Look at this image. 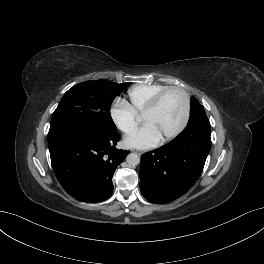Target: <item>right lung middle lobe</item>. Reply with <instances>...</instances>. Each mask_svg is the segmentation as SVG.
Masks as SVG:
<instances>
[{
  "instance_id": "obj_1",
  "label": "right lung middle lobe",
  "mask_w": 264,
  "mask_h": 264,
  "mask_svg": "<svg viewBox=\"0 0 264 264\" xmlns=\"http://www.w3.org/2000/svg\"><path fill=\"white\" fill-rule=\"evenodd\" d=\"M129 84L94 80L73 86L53 113L48 141L67 133L116 132L110 106Z\"/></svg>"
}]
</instances>
